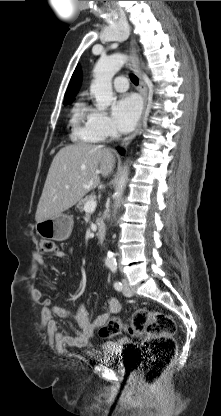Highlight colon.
Returning <instances> with one entry per match:
<instances>
[{
  "instance_id": "obj_1",
  "label": "colon",
  "mask_w": 221,
  "mask_h": 416,
  "mask_svg": "<svg viewBox=\"0 0 221 416\" xmlns=\"http://www.w3.org/2000/svg\"><path fill=\"white\" fill-rule=\"evenodd\" d=\"M41 250L45 254L55 253L56 244L52 240H42ZM176 330V322L169 314L141 308L127 322L119 317L110 318L99 328V334L105 338L123 332L135 336L144 335L140 356L141 377L144 382L154 384L176 354Z\"/></svg>"
}]
</instances>
